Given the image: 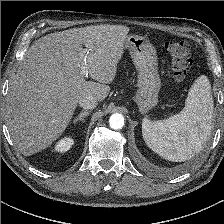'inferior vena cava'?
Instances as JSON below:
<instances>
[{
  "mask_svg": "<svg viewBox=\"0 0 224 224\" xmlns=\"http://www.w3.org/2000/svg\"><path fill=\"white\" fill-rule=\"evenodd\" d=\"M79 105L83 109H94L97 106V99L93 96H85L79 100Z\"/></svg>",
  "mask_w": 224,
  "mask_h": 224,
  "instance_id": "obj_1",
  "label": "inferior vena cava"
}]
</instances>
